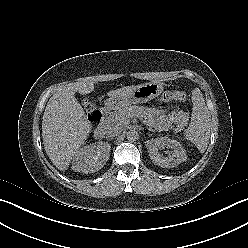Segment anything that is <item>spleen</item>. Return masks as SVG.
<instances>
[{
	"instance_id": "1",
	"label": "spleen",
	"mask_w": 248,
	"mask_h": 248,
	"mask_svg": "<svg viewBox=\"0 0 248 248\" xmlns=\"http://www.w3.org/2000/svg\"><path fill=\"white\" fill-rule=\"evenodd\" d=\"M192 117L185 130V139L195 144L201 153L208 147L210 138V113L199 88L192 91Z\"/></svg>"
}]
</instances>
